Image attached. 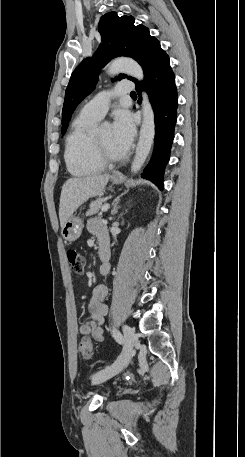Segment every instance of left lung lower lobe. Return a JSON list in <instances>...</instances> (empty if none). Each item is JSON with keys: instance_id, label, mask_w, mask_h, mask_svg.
Wrapping results in <instances>:
<instances>
[{"instance_id": "left-lung-lower-lobe-1", "label": "left lung lower lobe", "mask_w": 245, "mask_h": 457, "mask_svg": "<svg viewBox=\"0 0 245 457\" xmlns=\"http://www.w3.org/2000/svg\"><path fill=\"white\" fill-rule=\"evenodd\" d=\"M141 66L144 81H134L136 90L140 95L141 89L145 88L155 115L154 151L142 177L163 190V175L169 161L177 119V88L169 57L161 47L150 53Z\"/></svg>"}]
</instances>
